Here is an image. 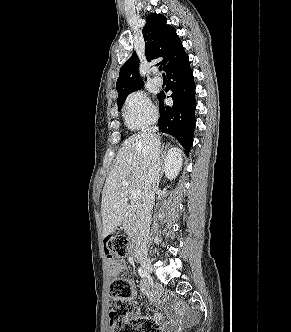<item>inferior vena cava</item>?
I'll list each match as a JSON object with an SVG mask.
<instances>
[{
  "instance_id": "1",
  "label": "inferior vena cava",
  "mask_w": 291,
  "mask_h": 332,
  "mask_svg": "<svg viewBox=\"0 0 291 332\" xmlns=\"http://www.w3.org/2000/svg\"><path fill=\"white\" fill-rule=\"evenodd\" d=\"M156 126H152L142 133V137L147 144L146 150V173L142 191V205L138 211L136 253L146 254L148 235L153 210L155 192L158 189L162 175V161L160 157V146L155 132Z\"/></svg>"
}]
</instances>
